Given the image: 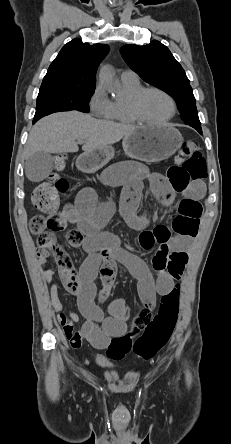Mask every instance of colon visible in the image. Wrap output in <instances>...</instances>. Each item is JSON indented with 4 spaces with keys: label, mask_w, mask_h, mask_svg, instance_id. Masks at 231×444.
<instances>
[{
    "label": "colon",
    "mask_w": 231,
    "mask_h": 444,
    "mask_svg": "<svg viewBox=\"0 0 231 444\" xmlns=\"http://www.w3.org/2000/svg\"><path fill=\"white\" fill-rule=\"evenodd\" d=\"M170 182L183 188L207 177L205 158L198 147L186 141L181 149L178 164L169 168ZM68 183L57 174L37 186L32 193L33 205L42 212L30 220V231L38 235V244L42 250L56 262L62 281L69 291L76 293L79 282L68 253L57 243L51 232L64 230L72 224V215L67 210H59V194L66 191ZM202 209L193 200L183 199L179 203L178 215L172 222L175 234L194 237L199 227ZM155 232L159 236H168L170 231L165 226H158ZM179 287L162 296L157 313L142 309L134 318L132 329L122 336L111 339L107 347V356L112 360H122L134 354L144 360L152 359L168 343L178 317Z\"/></svg>",
    "instance_id": "1"
}]
</instances>
